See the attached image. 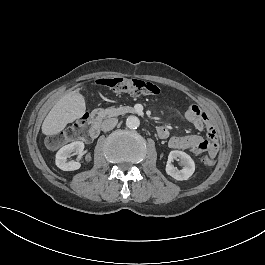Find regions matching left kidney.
I'll return each mask as SVG.
<instances>
[{"label":"left kidney","instance_id":"left-kidney-1","mask_svg":"<svg viewBox=\"0 0 265 265\" xmlns=\"http://www.w3.org/2000/svg\"><path fill=\"white\" fill-rule=\"evenodd\" d=\"M180 159L181 165L183 168L178 170L174 165H172V161L174 159ZM195 171V163L193 159L183 151L173 150L168 155V161L166 165V173L173 177L176 180L182 181L187 180Z\"/></svg>","mask_w":265,"mask_h":265}]
</instances>
